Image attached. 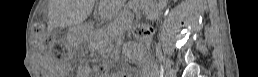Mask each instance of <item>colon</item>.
Instances as JSON below:
<instances>
[{
	"mask_svg": "<svg viewBox=\"0 0 258 77\" xmlns=\"http://www.w3.org/2000/svg\"><path fill=\"white\" fill-rule=\"evenodd\" d=\"M34 41L38 48H44L49 42V35L44 24L37 22L33 26ZM153 36V29L149 24H139L132 30V38L143 45H149Z\"/></svg>",
	"mask_w": 258,
	"mask_h": 77,
	"instance_id": "obj_1",
	"label": "colon"
}]
</instances>
